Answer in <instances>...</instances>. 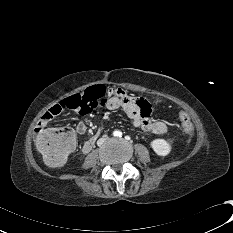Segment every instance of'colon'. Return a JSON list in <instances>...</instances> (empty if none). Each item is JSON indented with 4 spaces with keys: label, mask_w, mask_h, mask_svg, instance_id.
Here are the masks:
<instances>
[{
    "label": "colon",
    "mask_w": 233,
    "mask_h": 233,
    "mask_svg": "<svg viewBox=\"0 0 233 233\" xmlns=\"http://www.w3.org/2000/svg\"><path fill=\"white\" fill-rule=\"evenodd\" d=\"M109 89L104 85L96 84L62 102L65 109L89 112ZM176 118L181 123L182 131L186 135H192L194 126L189 114L179 110ZM34 142L43 159L49 165L57 167L62 165L71 154L74 148V133L70 129H38Z\"/></svg>",
    "instance_id": "5ec220e1"
}]
</instances>
